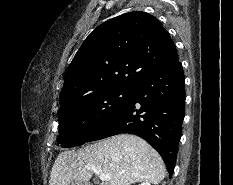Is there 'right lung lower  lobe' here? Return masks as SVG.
I'll return each mask as SVG.
<instances>
[{
  "instance_id": "1",
  "label": "right lung lower lobe",
  "mask_w": 233,
  "mask_h": 185,
  "mask_svg": "<svg viewBox=\"0 0 233 185\" xmlns=\"http://www.w3.org/2000/svg\"><path fill=\"white\" fill-rule=\"evenodd\" d=\"M185 77L179 58L134 82L124 103L86 142L119 133L136 134L163 158L172 176L185 105Z\"/></svg>"
}]
</instances>
